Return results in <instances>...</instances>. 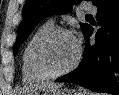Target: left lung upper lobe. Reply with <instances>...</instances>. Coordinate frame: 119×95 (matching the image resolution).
Masks as SVG:
<instances>
[{
    "mask_svg": "<svg viewBox=\"0 0 119 95\" xmlns=\"http://www.w3.org/2000/svg\"><path fill=\"white\" fill-rule=\"evenodd\" d=\"M81 0H27L23 8V21L14 45V55L35 26L50 15H61L72 11V5ZM97 6L103 0H91ZM88 24H81L85 31Z\"/></svg>",
    "mask_w": 119,
    "mask_h": 95,
    "instance_id": "obj_1",
    "label": "left lung upper lobe"
}]
</instances>
